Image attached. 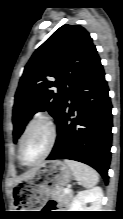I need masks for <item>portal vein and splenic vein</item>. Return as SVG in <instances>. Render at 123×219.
Returning <instances> with one entry per match:
<instances>
[{
    "mask_svg": "<svg viewBox=\"0 0 123 219\" xmlns=\"http://www.w3.org/2000/svg\"><path fill=\"white\" fill-rule=\"evenodd\" d=\"M70 192H71V190H70L69 188H65V189H64V193H65V194H69Z\"/></svg>",
    "mask_w": 123,
    "mask_h": 219,
    "instance_id": "1",
    "label": "portal vein and splenic vein"
}]
</instances>
